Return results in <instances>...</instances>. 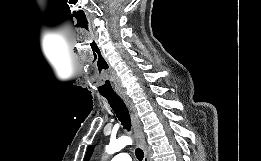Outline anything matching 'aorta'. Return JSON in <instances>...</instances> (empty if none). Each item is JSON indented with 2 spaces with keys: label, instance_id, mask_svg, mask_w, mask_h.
Segmentation results:
<instances>
[{
  "label": "aorta",
  "instance_id": "1",
  "mask_svg": "<svg viewBox=\"0 0 261 161\" xmlns=\"http://www.w3.org/2000/svg\"><path fill=\"white\" fill-rule=\"evenodd\" d=\"M132 143L131 138L128 136H122L116 140H112L109 145L106 146V152L108 154H114L123 149L126 145H130Z\"/></svg>",
  "mask_w": 261,
  "mask_h": 161
}]
</instances>
